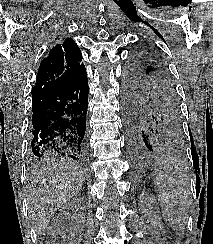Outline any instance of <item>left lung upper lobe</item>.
<instances>
[{
    "mask_svg": "<svg viewBox=\"0 0 213 244\" xmlns=\"http://www.w3.org/2000/svg\"><path fill=\"white\" fill-rule=\"evenodd\" d=\"M123 106L134 110L161 138L181 136V113L176 87L161 56L148 47L135 51L125 68Z\"/></svg>",
    "mask_w": 213,
    "mask_h": 244,
    "instance_id": "1",
    "label": "left lung upper lobe"
}]
</instances>
